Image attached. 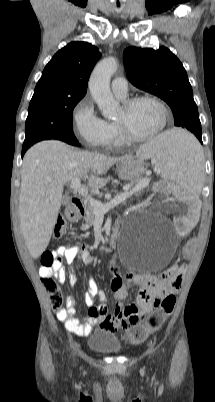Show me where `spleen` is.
Instances as JSON below:
<instances>
[{
	"label": "spleen",
	"instance_id": "obj_1",
	"mask_svg": "<svg viewBox=\"0 0 215 402\" xmlns=\"http://www.w3.org/2000/svg\"><path fill=\"white\" fill-rule=\"evenodd\" d=\"M142 159L151 158L156 172L165 180L188 184L187 191L197 189L205 168L202 163L198 133L188 128H167L154 140L144 144L137 152Z\"/></svg>",
	"mask_w": 215,
	"mask_h": 402
}]
</instances>
